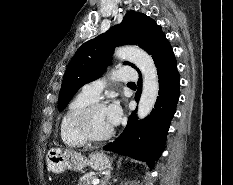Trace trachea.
I'll list each match as a JSON object with an SVG mask.
<instances>
[{"mask_svg": "<svg viewBox=\"0 0 233 185\" xmlns=\"http://www.w3.org/2000/svg\"><path fill=\"white\" fill-rule=\"evenodd\" d=\"M129 84H134L133 82H130Z\"/></svg>", "mask_w": 233, "mask_h": 185, "instance_id": "1", "label": "trachea"}]
</instances>
